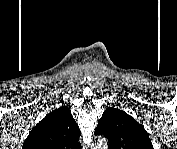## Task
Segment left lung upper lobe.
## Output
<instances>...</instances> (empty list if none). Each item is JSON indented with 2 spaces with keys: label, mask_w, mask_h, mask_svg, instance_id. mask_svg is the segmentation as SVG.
Here are the masks:
<instances>
[{
  "label": "left lung upper lobe",
  "mask_w": 177,
  "mask_h": 149,
  "mask_svg": "<svg viewBox=\"0 0 177 149\" xmlns=\"http://www.w3.org/2000/svg\"><path fill=\"white\" fill-rule=\"evenodd\" d=\"M108 139L109 149H153L144 127L122 110L109 107L95 129Z\"/></svg>",
  "instance_id": "obj_1"
}]
</instances>
